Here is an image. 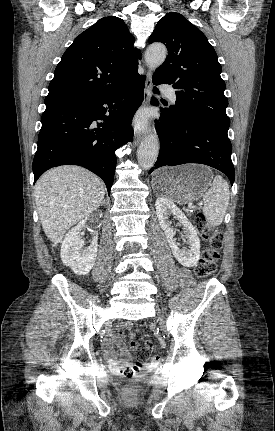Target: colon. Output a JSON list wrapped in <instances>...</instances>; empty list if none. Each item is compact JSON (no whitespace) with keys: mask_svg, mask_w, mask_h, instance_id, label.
I'll return each mask as SVG.
<instances>
[{"mask_svg":"<svg viewBox=\"0 0 275 431\" xmlns=\"http://www.w3.org/2000/svg\"><path fill=\"white\" fill-rule=\"evenodd\" d=\"M194 224L199 234L208 241L207 247L194 268V273L199 278H206L210 276L216 269L217 261L219 259L220 249L223 244L222 231L214 225H210L203 213H197L194 217ZM134 333H129L131 339L130 347L133 351L137 352L136 361L134 364L125 367L122 374L125 377H132L141 367L148 361L157 363L160 360L159 356H152V344L148 342L143 348H139V344L134 340ZM138 389L136 384H132L128 391L133 393Z\"/></svg>","mask_w":275,"mask_h":431,"instance_id":"obj_1","label":"colon"}]
</instances>
